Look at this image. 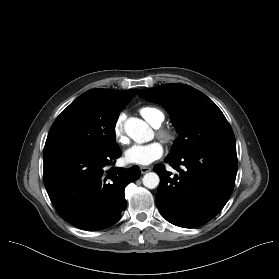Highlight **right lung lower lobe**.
<instances>
[{"instance_id":"right-lung-lower-lobe-1","label":"right lung lower lobe","mask_w":279,"mask_h":279,"mask_svg":"<svg viewBox=\"0 0 279 279\" xmlns=\"http://www.w3.org/2000/svg\"><path fill=\"white\" fill-rule=\"evenodd\" d=\"M122 155L119 147L98 152L68 147L43 154L44 184L58 214L83 230L115 224L126 208L125 187L140 177V169L107 165Z\"/></svg>"}]
</instances>
